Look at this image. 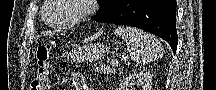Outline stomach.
<instances>
[{
	"instance_id": "obj_1",
	"label": "stomach",
	"mask_w": 216,
	"mask_h": 90,
	"mask_svg": "<svg viewBox=\"0 0 216 90\" xmlns=\"http://www.w3.org/2000/svg\"><path fill=\"white\" fill-rule=\"evenodd\" d=\"M107 46L101 44L88 45L85 48L78 49L71 54L72 59L78 61H96L108 54Z\"/></svg>"
}]
</instances>
